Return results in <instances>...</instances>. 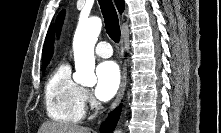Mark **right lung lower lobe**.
Segmentation results:
<instances>
[{
	"label": "right lung lower lobe",
	"mask_w": 221,
	"mask_h": 133,
	"mask_svg": "<svg viewBox=\"0 0 221 133\" xmlns=\"http://www.w3.org/2000/svg\"><path fill=\"white\" fill-rule=\"evenodd\" d=\"M121 112V107H118L113 112L110 113L109 117L106 121L101 125L100 132L101 133H111L117 124Z\"/></svg>",
	"instance_id": "obj_1"
}]
</instances>
